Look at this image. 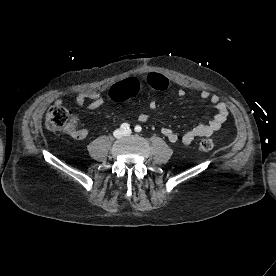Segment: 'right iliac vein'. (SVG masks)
<instances>
[{"label": "right iliac vein", "instance_id": "obj_1", "mask_svg": "<svg viewBox=\"0 0 276 276\" xmlns=\"http://www.w3.org/2000/svg\"><path fill=\"white\" fill-rule=\"evenodd\" d=\"M123 134H124V132H123V130H121V129H117V130L114 131V136H115L116 138L122 137Z\"/></svg>", "mask_w": 276, "mask_h": 276}]
</instances>
